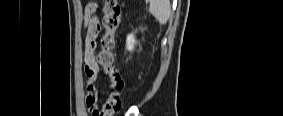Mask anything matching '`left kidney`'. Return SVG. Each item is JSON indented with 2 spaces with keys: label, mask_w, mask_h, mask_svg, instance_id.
Instances as JSON below:
<instances>
[{
  "label": "left kidney",
  "mask_w": 283,
  "mask_h": 116,
  "mask_svg": "<svg viewBox=\"0 0 283 116\" xmlns=\"http://www.w3.org/2000/svg\"><path fill=\"white\" fill-rule=\"evenodd\" d=\"M136 44V40H135V37L132 34H129L127 36V40H126V47H127V50L128 51H132L134 49V45Z\"/></svg>",
  "instance_id": "left-kidney-1"
}]
</instances>
